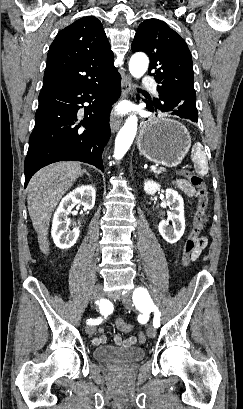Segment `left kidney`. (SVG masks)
<instances>
[{
	"label": "left kidney",
	"instance_id": "1",
	"mask_svg": "<svg viewBox=\"0 0 243 409\" xmlns=\"http://www.w3.org/2000/svg\"><path fill=\"white\" fill-rule=\"evenodd\" d=\"M159 190L160 185L154 181L148 180L144 183V191L149 195H154ZM165 195L172 213L159 223L158 230L168 243L173 244L183 236L185 231L184 201L177 191L170 188L166 189ZM169 222L172 225H169Z\"/></svg>",
	"mask_w": 243,
	"mask_h": 409
}]
</instances>
